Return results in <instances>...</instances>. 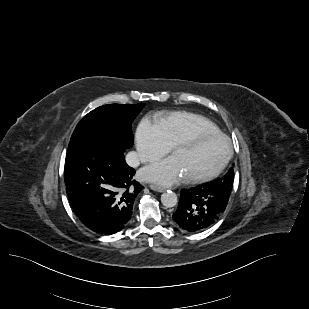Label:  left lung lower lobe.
Returning a JSON list of instances; mask_svg holds the SVG:
<instances>
[{"label": "left lung lower lobe", "instance_id": "1", "mask_svg": "<svg viewBox=\"0 0 309 309\" xmlns=\"http://www.w3.org/2000/svg\"><path fill=\"white\" fill-rule=\"evenodd\" d=\"M231 190L205 184L182 189L173 220L181 230L198 233L214 225L224 213Z\"/></svg>", "mask_w": 309, "mask_h": 309}]
</instances>
